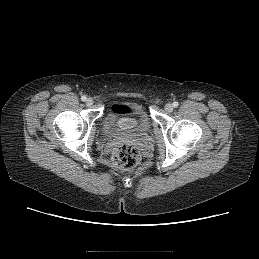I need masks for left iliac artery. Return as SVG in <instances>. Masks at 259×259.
<instances>
[{"instance_id": "1", "label": "left iliac artery", "mask_w": 259, "mask_h": 259, "mask_svg": "<svg viewBox=\"0 0 259 259\" xmlns=\"http://www.w3.org/2000/svg\"><path fill=\"white\" fill-rule=\"evenodd\" d=\"M178 105H179V103H178V102H176V101H175V102H173V106H174V107H178Z\"/></svg>"}]
</instances>
